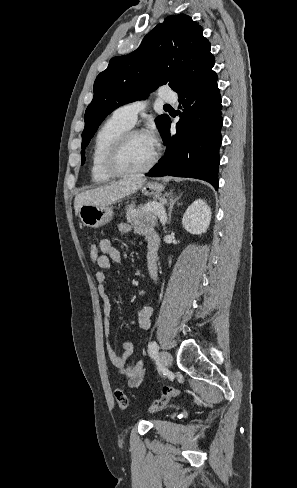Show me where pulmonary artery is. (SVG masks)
<instances>
[{
	"label": "pulmonary artery",
	"mask_w": 297,
	"mask_h": 488,
	"mask_svg": "<svg viewBox=\"0 0 297 488\" xmlns=\"http://www.w3.org/2000/svg\"><path fill=\"white\" fill-rule=\"evenodd\" d=\"M158 96L165 102L175 103L177 100L176 95L170 91L159 90ZM146 104V101L143 99L136 100L118 107L114 113L122 121L132 127L137 121L138 114L145 110Z\"/></svg>",
	"instance_id": "pulmonary-artery-1"
}]
</instances>
